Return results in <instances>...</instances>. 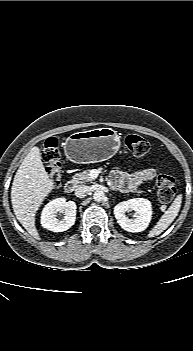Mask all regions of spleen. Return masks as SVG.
Segmentation results:
<instances>
[{"label":"spleen","instance_id":"obj_1","mask_svg":"<svg viewBox=\"0 0 193 351\" xmlns=\"http://www.w3.org/2000/svg\"><path fill=\"white\" fill-rule=\"evenodd\" d=\"M182 203V195L179 194L168 210L161 216L157 224L150 230L149 234L147 237L151 238L154 236L160 235L164 230H166L170 224L174 221V219L177 217L180 207Z\"/></svg>","mask_w":193,"mask_h":351}]
</instances>
